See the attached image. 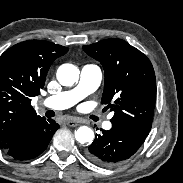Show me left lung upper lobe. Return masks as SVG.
I'll return each instance as SVG.
<instances>
[{
	"label": "left lung upper lobe",
	"mask_w": 183,
	"mask_h": 183,
	"mask_svg": "<svg viewBox=\"0 0 183 183\" xmlns=\"http://www.w3.org/2000/svg\"><path fill=\"white\" fill-rule=\"evenodd\" d=\"M99 61L105 83L102 104L114 116L111 123L125 124L149 134L156 99V78L149 59L126 41L112 38L83 46Z\"/></svg>",
	"instance_id": "obj_1"
}]
</instances>
